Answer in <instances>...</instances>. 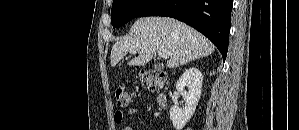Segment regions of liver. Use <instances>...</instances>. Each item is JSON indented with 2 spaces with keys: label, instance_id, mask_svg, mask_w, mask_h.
<instances>
[{
  "label": "liver",
  "instance_id": "1",
  "mask_svg": "<svg viewBox=\"0 0 299 130\" xmlns=\"http://www.w3.org/2000/svg\"><path fill=\"white\" fill-rule=\"evenodd\" d=\"M159 49L171 52L168 68H176L214 52L213 44L185 23L168 17H145L132 25L130 36L113 45L111 66L115 67L127 53H138L129 65L143 66Z\"/></svg>",
  "mask_w": 299,
  "mask_h": 130
}]
</instances>
